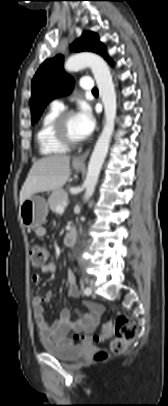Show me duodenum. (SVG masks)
Instances as JSON below:
<instances>
[{"instance_id":"1","label":"duodenum","mask_w":168,"mask_h":406,"mask_svg":"<svg viewBox=\"0 0 168 406\" xmlns=\"http://www.w3.org/2000/svg\"><path fill=\"white\" fill-rule=\"evenodd\" d=\"M77 241V230L74 226H71L65 236H64V244L67 246H72Z\"/></svg>"}]
</instances>
